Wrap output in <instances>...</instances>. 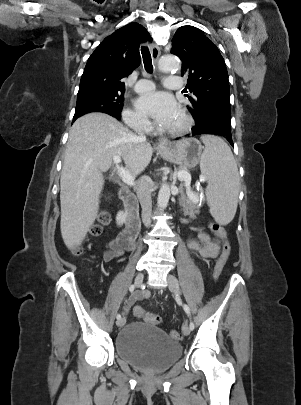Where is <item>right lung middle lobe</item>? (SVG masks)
Returning <instances> with one entry per match:
<instances>
[{
    "instance_id": "dd1d6c3e",
    "label": "right lung middle lobe",
    "mask_w": 301,
    "mask_h": 405,
    "mask_svg": "<svg viewBox=\"0 0 301 405\" xmlns=\"http://www.w3.org/2000/svg\"><path fill=\"white\" fill-rule=\"evenodd\" d=\"M123 93L117 91L91 90L78 93L73 120L90 112H103L121 117Z\"/></svg>"
}]
</instances>
